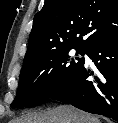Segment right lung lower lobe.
Returning <instances> with one entry per match:
<instances>
[{
    "label": "right lung lower lobe",
    "instance_id": "right-lung-lower-lobe-1",
    "mask_svg": "<svg viewBox=\"0 0 118 123\" xmlns=\"http://www.w3.org/2000/svg\"><path fill=\"white\" fill-rule=\"evenodd\" d=\"M86 54L94 62L96 71L86 69L83 63L76 74L49 98L118 122V36L100 41ZM89 76L94 79L87 80Z\"/></svg>",
    "mask_w": 118,
    "mask_h": 123
}]
</instances>
